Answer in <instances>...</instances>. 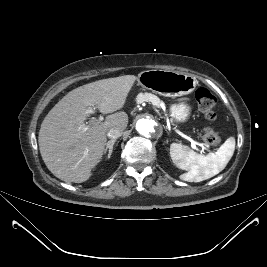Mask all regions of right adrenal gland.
I'll return each instance as SVG.
<instances>
[{"mask_svg":"<svg viewBox=\"0 0 267 267\" xmlns=\"http://www.w3.org/2000/svg\"><path fill=\"white\" fill-rule=\"evenodd\" d=\"M116 141H117V139H111L106 144V148L104 150V154H106L108 152V154H107V158L108 159H110V157L112 155L113 146H114V144H115Z\"/></svg>","mask_w":267,"mask_h":267,"instance_id":"obj_1","label":"right adrenal gland"}]
</instances>
